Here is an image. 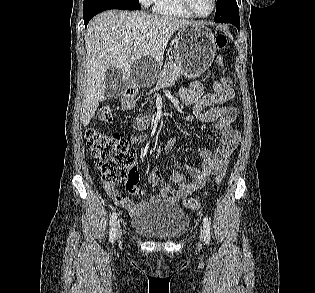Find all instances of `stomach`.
Returning a JSON list of instances; mask_svg holds the SVG:
<instances>
[{"label":"stomach","mask_w":315,"mask_h":293,"mask_svg":"<svg viewBox=\"0 0 315 293\" xmlns=\"http://www.w3.org/2000/svg\"><path fill=\"white\" fill-rule=\"evenodd\" d=\"M216 45L211 30L202 23L188 25L178 32L174 42L175 60L179 61L186 78H196L203 74L212 64ZM123 110L134 109L142 103V96L133 92H124L120 96Z\"/></svg>","instance_id":"stomach-1"}]
</instances>
